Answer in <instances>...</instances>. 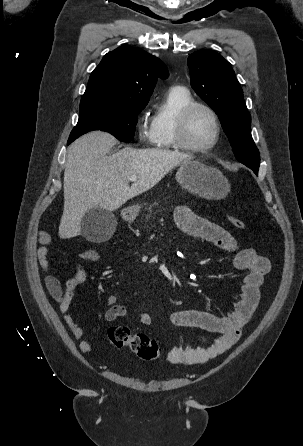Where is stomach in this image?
<instances>
[{
	"mask_svg": "<svg viewBox=\"0 0 303 446\" xmlns=\"http://www.w3.org/2000/svg\"><path fill=\"white\" fill-rule=\"evenodd\" d=\"M176 180L187 191L208 200L224 199L230 191L228 179L216 168L196 160H188L179 165ZM140 205H133L122 212V217L133 221Z\"/></svg>",
	"mask_w": 303,
	"mask_h": 446,
	"instance_id": "0dacf381",
	"label": "stomach"
}]
</instances>
